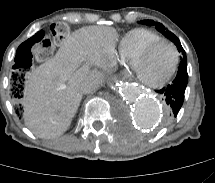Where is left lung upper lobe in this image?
<instances>
[{
	"label": "left lung upper lobe",
	"instance_id": "left-lung-upper-lobe-1",
	"mask_svg": "<svg viewBox=\"0 0 215 183\" xmlns=\"http://www.w3.org/2000/svg\"><path fill=\"white\" fill-rule=\"evenodd\" d=\"M139 23L146 24V25H155L156 29L159 32H161L165 37L170 39L177 46L178 51L182 53L181 60L186 59L185 51L182 48L179 39L172 32L168 31L162 24L158 22H154L152 20H143V21H140Z\"/></svg>",
	"mask_w": 215,
	"mask_h": 183
}]
</instances>
